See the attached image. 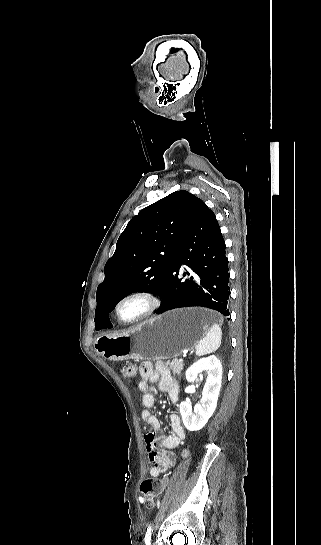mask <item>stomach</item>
<instances>
[{"instance_id": "1", "label": "stomach", "mask_w": 321, "mask_h": 545, "mask_svg": "<svg viewBox=\"0 0 321 545\" xmlns=\"http://www.w3.org/2000/svg\"><path fill=\"white\" fill-rule=\"evenodd\" d=\"M214 311L189 307L151 317L127 333L96 337L95 349L105 359H173L192 351L206 335Z\"/></svg>"}]
</instances>
